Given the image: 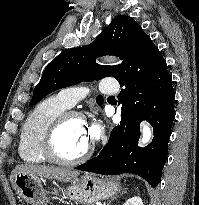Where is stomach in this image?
Wrapping results in <instances>:
<instances>
[{
    "mask_svg": "<svg viewBox=\"0 0 199 205\" xmlns=\"http://www.w3.org/2000/svg\"><path fill=\"white\" fill-rule=\"evenodd\" d=\"M43 183V178L25 173H18L14 178L17 194L31 205H48L50 193L76 203L92 204L112 197L120 190V184L114 178L95 174L75 178L66 187L54 181L51 191Z\"/></svg>",
    "mask_w": 199,
    "mask_h": 205,
    "instance_id": "0dacf381",
    "label": "stomach"
}]
</instances>
